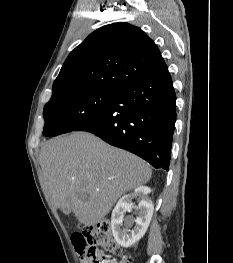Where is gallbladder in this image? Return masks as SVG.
Listing matches in <instances>:
<instances>
[{
	"label": "gallbladder",
	"mask_w": 233,
	"mask_h": 263,
	"mask_svg": "<svg viewBox=\"0 0 233 263\" xmlns=\"http://www.w3.org/2000/svg\"><path fill=\"white\" fill-rule=\"evenodd\" d=\"M62 211L65 215H70V213H71V210L67 207L62 208Z\"/></svg>",
	"instance_id": "obj_1"
}]
</instances>
